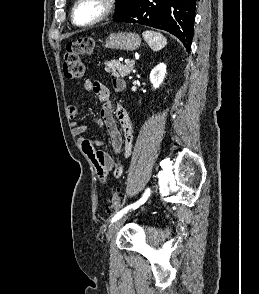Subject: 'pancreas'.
Instances as JSON below:
<instances>
[{
	"instance_id": "1",
	"label": "pancreas",
	"mask_w": 259,
	"mask_h": 294,
	"mask_svg": "<svg viewBox=\"0 0 259 294\" xmlns=\"http://www.w3.org/2000/svg\"><path fill=\"white\" fill-rule=\"evenodd\" d=\"M105 71L114 77H126L134 68V63L123 65L119 61H107L104 63Z\"/></svg>"
}]
</instances>
